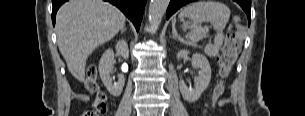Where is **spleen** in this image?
<instances>
[{"label":"spleen","mask_w":305,"mask_h":116,"mask_svg":"<svg viewBox=\"0 0 305 116\" xmlns=\"http://www.w3.org/2000/svg\"><path fill=\"white\" fill-rule=\"evenodd\" d=\"M178 17L181 21L184 18H188L191 21V31L182 42L188 45H194L206 37L208 33V30L203 28L201 23L209 22L217 32L221 33L229 20L230 10L220 2L198 1L184 7ZM220 44L221 42L219 41L217 45Z\"/></svg>","instance_id":"spleen-1"}]
</instances>
